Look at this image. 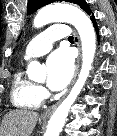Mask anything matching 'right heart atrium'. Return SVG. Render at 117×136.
<instances>
[{"mask_svg":"<svg viewBox=\"0 0 117 136\" xmlns=\"http://www.w3.org/2000/svg\"><path fill=\"white\" fill-rule=\"evenodd\" d=\"M42 95L45 93L44 89L40 88Z\"/></svg>","mask_w":117,"mask_h":136,"instance_id":"obj_1","label":"right heart atrium"}]
</instances>
